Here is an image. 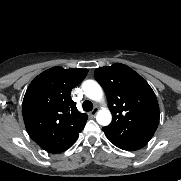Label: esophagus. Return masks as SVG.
<instances>
[{"mask_svg":"<svg viewBox=\"0 0 181 181\" xmlns=\"http://www.w3.org/2000/svg\"><path fill=\"white\" fill-rule=\"evenodd\" d=\"M97 112H98V108L95 107V108L89 113V115H90L91 117H94V116L97 114Z\"/></svg>","mask_w":181,"mask_h":181,"instance_id":"esophagus-1","label":"esophagus"}]
</instances>
